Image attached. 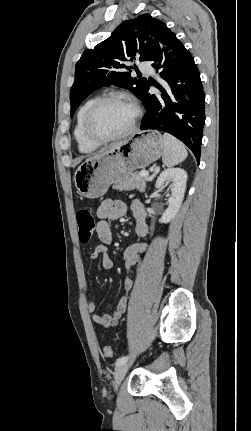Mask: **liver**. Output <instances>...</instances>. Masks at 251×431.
Here are the masks:
<instances>
[{
    "label": "liver",
    "instance_id": "obj_1",
    "mask_svg": "<svg viewBox=\"0 0 251 431\" xmlns=\"http://www.w3.org/2000/svg\"><path fill=\"white\" fill-rule=\"evenodd\" d=\"M120 144H121V143H118V144L112 145L111 147H109V148H107V149H104V150L100 151L98 154H96V155H94V156H92V157H90V158H88V159H94V158H97V157H99V156H102V155L106 154L107 152H109V151H111V150L115 149V148H116V147H118Z\"/></svg>",
    "mask_w": 251,
    "mask_h": 431
}]
</instances>
